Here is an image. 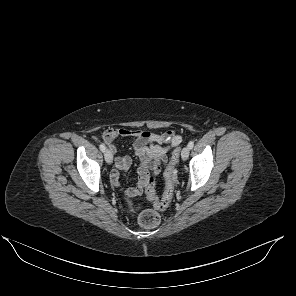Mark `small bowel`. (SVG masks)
Listing matches in <instances>:
<instances>
[{
  "instance_id": "small-bowel-1",
  "label": "small bowel",
  "mask_w": 296,
  "mask_h": 296,
  "mask_svg": "<svg viewBox=\"0 0 296 296\" xmlns=\"http://www.w3.org/2000/svg\"><path fill=\"white\" fill-rule=\"evenodd\" d=\"M117 137L134 138L133 152L140 161L137 184L133 187L122 189L123 194L127 198H132L142 193L149 171L151 170L155 174L160 173L167 161L170 150L178 146L182 141L181 136L174 130L154 133L146 130L107 128L102 133V141L111 154H115L117 151L114 143ZM162 144L168 145L162 146ZM130 166L131 158L129 156L122 155L115 158V167L110 174L111 184L115 188H120V172L126 171Z\"/></svg>"
}]
</instances>
